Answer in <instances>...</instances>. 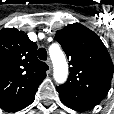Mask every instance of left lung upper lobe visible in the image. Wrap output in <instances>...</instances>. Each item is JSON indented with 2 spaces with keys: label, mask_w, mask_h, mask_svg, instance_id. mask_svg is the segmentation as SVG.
<instances>
[{
  "label": "left lung upper lobe",
  "mask_w": 114,
  "mask_h": 114,
  "mask_svg": "<svg viewBox=\"0 0 114 114\" xmlns=\"http://www.w3.org/2000/svg\"><path fill=\"white\" fill-rule=\"evenodd\" d=\"M68 58L70 73L61 87L103 99L113 77L111 57L100 38L85 26L74 23L56 32Z\"/></svg>",
  "instance_id": "5c2ea615"
}]
</instances>
